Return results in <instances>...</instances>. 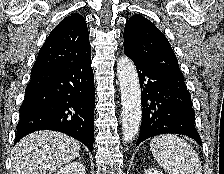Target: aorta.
Instances as JSON below:
<instances>
[{
  "label": "aorta",
  "instance_id": "obj_1",
  "mask_svg": "<svg viewBox=\"0 0 224 174\" xmlns=\"http://www.w3.org/2000/svg\"><path fill=\"white\" fill-rule=\"evenodd\" d=\"M117 76L121 90L123 140L127 143L137 135L142 118L138 73L127 56L118 59Z\"/></svg>",
  "mask_w": 224,
  "mask_h": 174
}]
</instances>
